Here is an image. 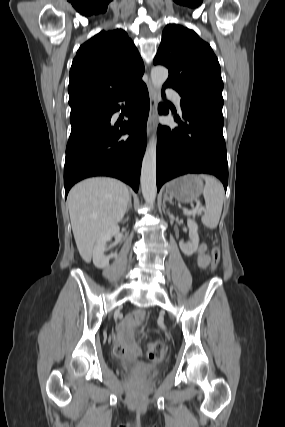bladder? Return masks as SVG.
I'll return each instance as SVG.
<instances>
[{
	"label": "bladder",
	"instance_id": "bladder-1",
	"mask_svg": "<svg viewBox=\"0 0 285 427\" xmlns=\"http://www.w3.org/2000/svg\"><path fill=\"white\" fill-rule=\"evenodd\" d=\"M157 372H156V370H153L152 372H151V375L153 376V375H155Z\"/></svg>",
	"mask_w": 285,
	"mask_h": 427
}]
</instances>
